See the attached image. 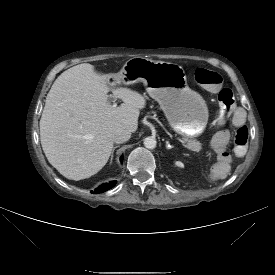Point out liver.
I'll return each instance as SVG.
<instances>
[{
    "label": "liver",
    "mask_w": 275,
    "mask_h": 275,
    "mask_svg": "<svg viewBox=\"0 0 275 275\" xmlns=\"http://www.w3.org/2000/svg\"><path fill=\"white\" fill-rule=\"evenodd\" d=\"M108 75L89 63L64 71L46 97L40 120V141L49 163L67 179L81 180L99 172L113 149L119 128L136 132L146 99L129 88H114L123 103L108 101Z\"/></svg>",
    "instance_id": "1"
}]
</instances>
